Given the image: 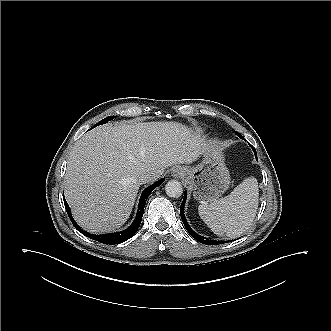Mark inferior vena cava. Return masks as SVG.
Here are the masks:
<instances>
[{
    "label": "inferior vena cava",
    "instance_id": "inferior-vena-cava-1",
    "mask_svg": "<svg viewBox=\"0 0 331 331\" xmlns=\"http://www.w3.org/2000/svg\"><path fill=\"white\" fill-rule=\"evenodd\" d=\"M158 177L159 176L156 173H147V174L141 175L139 177L138 181L140 184H145V183L156 180Z\"/></svg>",
    "mask_w": 331,
    "mask_h": 331
}]
</instances>
